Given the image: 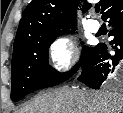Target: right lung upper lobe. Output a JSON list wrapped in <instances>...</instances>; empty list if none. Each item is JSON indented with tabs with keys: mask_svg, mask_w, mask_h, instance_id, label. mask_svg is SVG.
Wrapping results in <instances>:
<instances>
[{
	"mask_svg": "<svg viewBox=\"0 0 123 113\" xmlns=\"http://www.w3.org/2000/svg\"><path fill=\"white\" fill-rule=\"evenodd\" d=\"M114 0H100L102 17ZM86 11L91 4L86 0H33L24 10L19 23L14 48L40 37L76 29V10ZM62 29V31H60Z\"/></svg>",
	"mask_w": 123,
	"mask_h": 113,
	"instance_id": "1",
	"label": "right lung upper lobe"
}]
</instances>
